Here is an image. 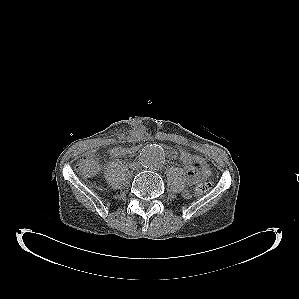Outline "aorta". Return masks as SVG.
Returning a JSON list of instances; mask_svg holds the SVG:
<instances>
[{"instance_id": "aorta-1", "label": "aorta", "mask_w": 299, "mask_h": 299, "mask_svg": "<svg viewBox=\"0 0 299 299\" xmlns=\"http://www.w3.org/2000/svg\"><path fill=\"white\" fill-rule=\"evenodd\" d=\"M140 161L142 166L147 169L161 167L165 161L163 148L155 144L145 146L140 153Z\"/></svg>"}]
</instances>
